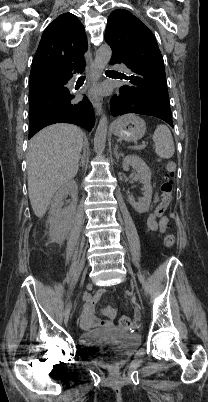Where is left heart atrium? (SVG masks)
Instances as JSON below:
<instances>
[{
	"mask_svg": "<svg viewBox=\"0 0 208 402\" xmlns=\"http://www.w3.org/2000/svg\"><path fill=\"white\" fill-rule=\"evenodd\" d=\"M101 91H102V89H98V90H97V92H101Z\"/></svg>",
	"mask_w": 208,
	"mask_h": 402,
	"instance_id": "left-heart-atrium-1",
	"label": "left heart atrium"
}]
</instances>
